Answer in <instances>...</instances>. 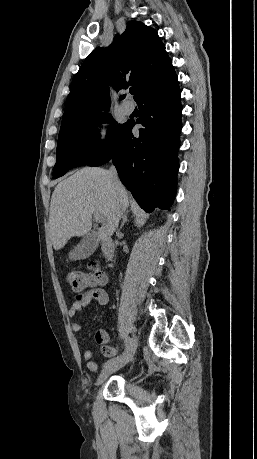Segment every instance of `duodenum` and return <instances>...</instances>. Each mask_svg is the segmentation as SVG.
I'll return each instance as SVG.
<instances>
[{"mask_svg":"<svg viewBox=\"0 0 257 459\" xmlns=\"http://www.w3.org/2000/svg\"><path fill=\"white\" fill-rule=\"evenodd\" d=\"M100 247L106 258H111L114 253V242L110 237H102L100 240Z\"/></svg>","mask_w":257,"mask_h":459,"instance_id":"obj_1","label":"duodenum"}]
</instances>
